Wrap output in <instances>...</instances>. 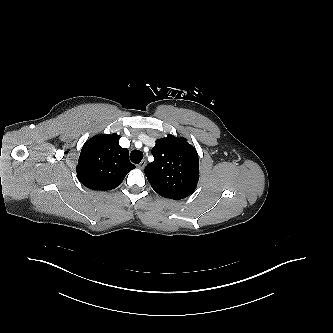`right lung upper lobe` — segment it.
Wrapping results in <instances>:
<instances>
[{
    "mask_svg": "<svg viewBox=\"0 0 333 333\" xmlns=\"http://www.w3.org/2000/svg\"><path fill=\"white\" fill-rule=\"evenodd\" d=\"M119 138L116 133L101 134L83 145L76 169L84 186L102 191L114 189L135 168L129 161L128 149L119 145Z\"/></svg>",
    "mask_w": 333,
    "mask_h": 333,
    "instance_id": "cb5924a9",
    "label": "right lung upper lobe"
}]
</instances>
